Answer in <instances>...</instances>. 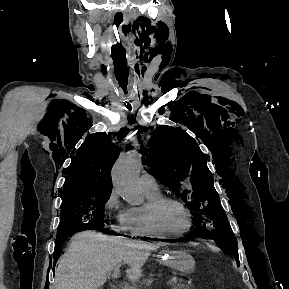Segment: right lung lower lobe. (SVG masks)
<instances>
[{"instance_id": "obj_1", "label": "right lung lower lobe", "mask_w": 289, "mask_h": 289, "mask_svg": "<svg viewBox=\"0 0 289 289\" xmlns=\"http://www.w3.org/2000/svg\"><path fill=\"white\" fill-rule=\"evenodd\" d=\"M107 233H110L112 235L116 234V233H113L111 231H108ZM67 239V238H66ZM65 238H56V246H55V250H54V261L56 262L58 257L60 256V253H61V245L63 243L64 240H66Z\"/></svg>"}]
</instances>
